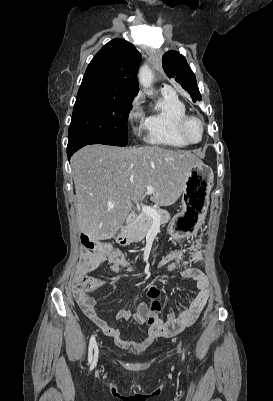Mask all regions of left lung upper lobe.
<instances>
[{
    "label": "left lung upper lobe",
    "instance_id": "5c2ea615",
    "mask_svg": "<svg viewBox=\"0 0 273 401\" xmlns=\"http://www.w3.org/2000/svg\"><path fill=\"white\" fill-rule=\"evenodd\" d=\"M162 65L167 76L175 78L182 88L190 94L194 102L202 100L195 75L184 56L176 51H168L162 57Z\"/></svg>",
    "mask_w": 273,
    "mask_h": 401
}]
</instances>
